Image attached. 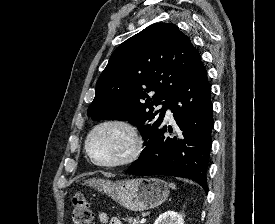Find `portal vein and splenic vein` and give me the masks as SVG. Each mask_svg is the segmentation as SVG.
Returning a JSON list of instances; mask_svg holds the SVG:
<instances>
[{
	"instance_id": "portal-vein-and-splenic-vein-1",
	"label": "portal vein and splenic vein",
	"mask_w": 275,
	"mask_h": 224,
	"mask_svg": "<svg viewBox=\"0 0 275 224\" xmlns=\"http://www.w3.org/2000/svg\"><path fill=\"white\" fill-rule=\"evenodd\" d=\"M146 222V218H142L141 220H140V223L141 224H143V223H145Z\"/></svg>"
}]
</instances>
